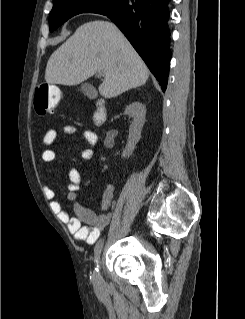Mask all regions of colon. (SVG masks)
<instances>
[{"instance_id":"colon-1","label":"colon","mask_w":245,"mask_h":319,"mask_svg":"<svg viewBox=\"0 0 245 319\" xmlns=\"http://www.w3.org/2000/svg\"><path fill=\"white\" fill-rule=\"evenodd\" d=\"M60 99L61 92L58 87L49 84H39L35 90V112L40 116L52 113Z\"/></svg>"}]
</instances>
